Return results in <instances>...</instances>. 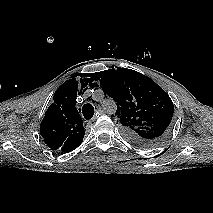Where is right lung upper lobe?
Here are the masks:
<instances>
[{"instance_id":"right-lung-upper-lobe-1","label":"right lung upper lobe","mask_w":213,"mask_h":213,"mask_svg":"<svg viewBox=\"0 0 213 213\" xmlns=\"http://www.w3.org/2000/svg\"><path fill=\"white\" fill-rule=\"evenodd\" d=\"M87 83L84 84L82 81L80 92L87 86ZM78 92L79 87L76 79L65 81L55 91L54 102L45 112V117L40 125V134L45 144L52 150L67 153L82 143L85 129L76 108Z\"/></svg>"}]
</instances>
